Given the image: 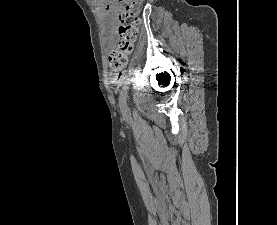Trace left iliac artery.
Instances as JSON below:
<instances>
[{
	"mask_svg": "<svg viewBox=\"0 0 277 225\" xmlns=\"http://www.w3.org/2000/svg\"><path fill=\"white\" fill-rule=\"evenodd\" d=\"M130 79H126L124 82H123V86L120 90V95H119V102L120 104L123 102L124 98L127 96V91H128V87H129V84H130Z\"/></svg>",
	"mask_w": 277,
	"mask_h": 225,
	"instance_id": "44dca946",
	"label": "left iliac artery"
}]
</instances>
